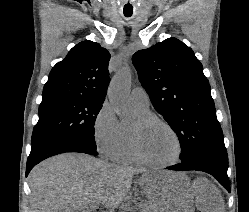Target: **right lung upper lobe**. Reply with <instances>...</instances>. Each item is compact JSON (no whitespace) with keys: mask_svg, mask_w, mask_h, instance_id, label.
Masks as SVG:
<instances>
[{"mask_svg":"<svg viewBox=\"0 0 249 212\" xmlns=\"http://www.w3.org/2000/svg\"><path fill=\"white\" fill-rule=\"evenodd\" d=\"M109 52L86 40L73 47L51 70L43 97L79 95L104 102L109 84Z\"/></svg>","mask_w":249,"mask_h":212,"instance_id":"1","label":"right lung upper lobe"}]
</instances>
